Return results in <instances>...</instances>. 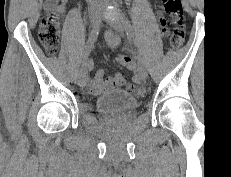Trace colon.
I'll use <instances>...</instances> for the list:
<instances>
[{
	"mask_svg": "<svg viewBox=\"0 0 231 177\" xmlns=\"http://www.w3.org/2000/svg\"><path fill=\"white\" fill-rule=\"evenodd\" d=\"M49 4H54L56 0H46ZM164 8L172 22L166 30L169 34L170 44L173 48H179L185 39V27L182 16L181 0H163ZM161 25L166 26L167 21L164 17L159 19ZM39 39L45 51L49 55H54L59 47L60 26L59 18L55 12H49L41 20L39 27ZM120 63H130V58L126 56H118L116 58Z\"/></svg>",
	"mask_w": 231,
	"mask_h": 177,
	"instance_id": "1",
	"label": "colon"
}]
</instances>
